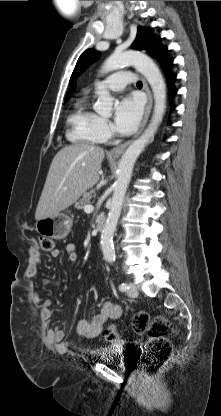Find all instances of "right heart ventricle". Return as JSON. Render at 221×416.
I'll return each instance as SVG.
<instances>
[{"mask_svg": "<svg viewBox=\"0 0 221 416\" xmlns=\"http://www.w3.org/2000/svg\"><path fill=\"white\" fill-rule=\"evenodd\" d=\"M100 117L90 108L87 98L80 99L69 116L71 131L69 137L74 142L97 144L105 139L99 131Z\"/></svg>", "mask_w": 221, "mask_h": 416, "instance_id": "1", "label": "right heart ventricle"}]
</instances>
